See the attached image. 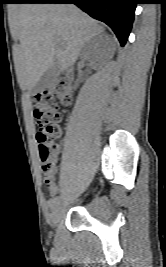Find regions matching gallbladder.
I'll return each instance as SVG.
<instances>
[{
    "instance_id": "bac80fb5",
    "label": "gallbladder",
    "mask_w": 166,
    "mask_h": 267,
    "mask_svg": "<svg viewBox=\"0 0 166 267\" xmlns=\"http://www.w3.org/2000/svg\"><path fill=\"white\" fill-rule=\"evenodd\" d=\"M59 73H60V64L56 60L54 61L53 65L49 69H47L40 77L36 85L31 90V94L35 95L52 87L56 82Z\"/></svg>"
}]
</instances>
